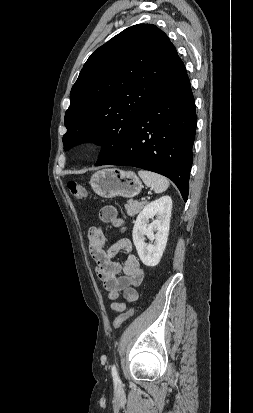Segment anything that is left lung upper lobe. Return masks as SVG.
<instances>
[{"mask_svg": "<svg viewBox=\"0 0 253 413\" xmlns=\"http://www.w3.org/2000/svg\"><path fill=\"white\" fill-rule=\"evenodd\" d=\"M178 58L153 24L131 26L99 47L71 89L64 150L95 142L102 146L96 165L106 162L124 146Z\"/></svg>", "mask_w": 253, "mask_h": 413, "instance_id": "1", "label": "left lung upper lobe"}]
</instances>
